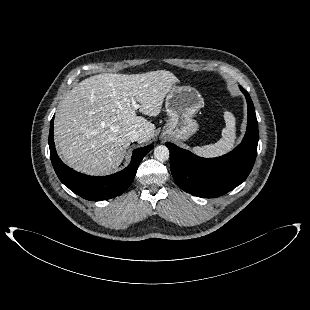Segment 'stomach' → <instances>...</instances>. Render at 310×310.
<instances>
[{"label":"stomach","mask_w":310,"mask_h":310,"mask_svg":"<svg viewBox=\"0 0 310 310\" xmlns=\"http://www.w3.org/2000/svg\"><path fill=\"white\" fill-rule=\"evenodd\" d=\"M202 106L203 98L195 88L174 85L165 100L169 118L162 137L182 141L191 137L198 129V124L193 117Z\"/></svg>","instance_id":"1"}]
</instances>
